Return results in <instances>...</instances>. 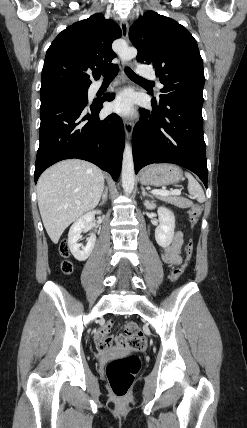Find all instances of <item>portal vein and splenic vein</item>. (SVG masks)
<instances>
[{
    "instance_id": "obj_1",
    "label": "portal vein and splenic vein",
    "mask_w": 247,
    "mask_h": 428,
    "mask_svg": "<svg viewBox=\"0 0 247 428\" xmlns=\"http://www.w3.org/2000/svg\"><path fill=\"white\" fill-rule=\"evenodd\" d=\"M152 194H156V195H161V196H168V195H181V191L180 190H172V191H168V190H152L151 191Z\"/></svg>"
}]
</instances>
